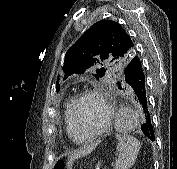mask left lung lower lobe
Returning <instances> with one entry per match:
<instances>
[{
    "instance_id": "0a47b994",
    "label": "left lung lower lobe",
    "mask_w": 177,
    "mask_h": 169,
    "mask_svg": "<svg viewBox=\"0 0 177 169\" xmlns=\"http://www.w3.org/2000/svg\"><path fill=\"white\" fill-rule=\"evenodd\" d=\"M123 74V89H130L135 94V99L137 100L139 108L145 117L141 130L145 136L154 141V130L149 112V104L147 101L145 71L141 59L138 56L133 57L124 68Z\"/></svg>"
}]
</instances>
